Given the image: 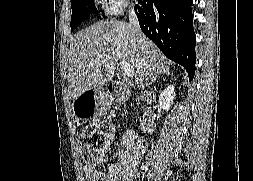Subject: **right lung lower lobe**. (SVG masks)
<instances>
[{"instance_id": "1", "label": "right lung lower lobe", "mask_w": 253, "mask_h": 181, "mask_svg": "<svg viewBox=\"0 0 253 181\" xmlns=\"http://www.w3.org/2000/svg\"><path fill=\"white\" fill-rule=\"evenodd\" d=\"M192 0H143L135 5L139 25L164 53L182 65L192 80L195 73L196 36Z\"/></svg>"}]
</instances>
